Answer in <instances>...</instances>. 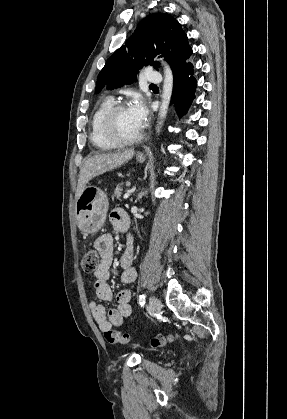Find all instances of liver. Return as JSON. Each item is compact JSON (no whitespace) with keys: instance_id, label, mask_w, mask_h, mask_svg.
Segmentation results:
<instances>
[{"instance_id":"1","label":"liver","mask_w":287,"mask_h":419,"mask_svg":"<svg viewBox=\"0 0 287 419\" xmlns=\"http://www.w3.org/2000/svg\"><path fill=\"white\" fill-rule=\"evenodd\" d=\"M135 154L134 149H126L114 153H100L88 157L80 170L78 186L75 197L81 195L88 182L101 174L114 170L128 162Z\"/></svg>"}]
</instances>
